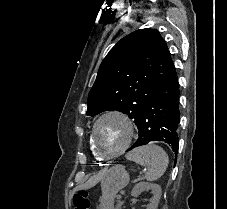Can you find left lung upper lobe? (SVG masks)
Returning a JSON list of instances; mask_svg holds the SVG:
<instances>
[{
	"label": "left lung upper lobe",
	"instance_id": "5c2ea615",
	"mask_svg": "<svg viewBox=\"0 0 227 209\" xmlns=\"http://www.w3.org/2000/svg\"><path fill=\"white\" fill-rule=\"evenodd\" d=\"M166 42L155 29L122 38L102 61L88 96L87 115L120 111L136 124L146 103L174 74Z\"/></svg>",
	"mask_w": 227,
	"mask_h": 209
}]
</instances>
